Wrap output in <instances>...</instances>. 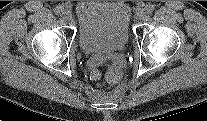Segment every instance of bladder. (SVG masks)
<instances>
[{"mask_svg":"<svg viewBox=\"0 0 207 121\" xmlns=\"http://www.w3.org/2000/svg\"><path fill=\"white\" fill-rule=\"evenodd\" d=\"M78 39L89 53L124 49L129 39L131 8L125 1H80L75 7Z\"/></svg>","mask_w":207,"mask_h":121,"instance_id":"obj_1","label":"bladder"}]
</instances>
